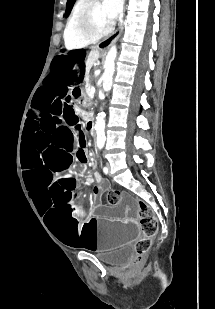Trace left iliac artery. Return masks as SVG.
Masks as SVG:
<instances>
[{
    "instance_id": "obj_1",
    "label": "left iliac artery",
    "mask_w": 215,
    "mask_h": 309,
    "mask_svg": "<svg viewBox=\"0 0 215 309\" xmlns=\"http://www.w3.org/2000/svg\"><path fill=\"white\" fill-rule=\"evenodd\" d=\"M103 172H104L105 174H107V173H108V168H107V167H103Z\"/></svg>"
}]
</instances>
